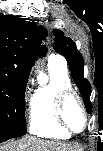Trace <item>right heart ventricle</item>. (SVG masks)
I'll return each mask as SVG.
<instances>
[{"instance_id": "obj_1", "label": "right heart ventricle", "mask_w": 103, "mask_h": 151, "mask_svg": "<svg viewBox=\"0 0 103 151\" xmlns=\"http://www.w3.org/2000/svg\"><path fill=\"white\" fill-rule=\"evenodd\" d=\"M50 80L34 89L29 104L30 133L42 138L68 139L71 134L60 127L54 117L55 100L58 93L72 89L66 67L48 63Z\"/></svg>"}]
</instances>
